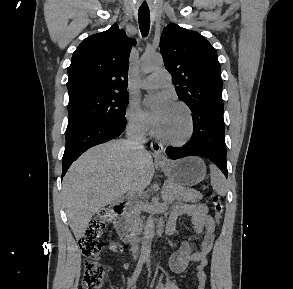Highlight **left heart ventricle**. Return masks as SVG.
Here are the masks:
<instances>
[{
    "mask_svg": "<svg viewBox=\"0 0 293 289\" xmlns=\"http://www.w3.org/2000/svg\"><path fill=\"white\" fill-rule=\"evenodd\" d=\"M188 122L183 109L172 106L166 117L155 126L156 131L164 138L177 140L184 136Z\"/></svg>",
    "mask_w": 293,
    "mask_h": 289,
    "instance_id": "left-heart-ventricle-1",
    "label": "left heart ventricle"
}]
</instances>
